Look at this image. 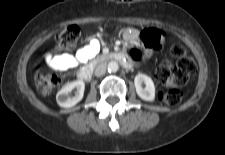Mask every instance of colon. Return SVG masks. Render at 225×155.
Here are the masks:
<instances>
[{"label":"colon","mask_w":225,"mask_h":155,"mask_svg":"<svg viewBox=\"0 0 225 155\" xmlns=\"http://www.w3.org/2000/svg\"><path fill=\"white\" fill-rule=\"evenodd\" d=\"M80 33L79 27L75 25L66 27L55 36L56 48L65 51L74 49ZM162 38V32L154 28L145 29L140 35V40L147 49L159 47ZM171 54L177 58L176 63L161 62L156 70V79L160 84L168 87L158 93V99L169 106H175L182 99L181 87L188 83L190 77L196 72L197 66L181 44L172 45ZM129 55L135 63H140L144 59V54L138 46L131 47ZM59 83L60 77L56 74L40 73L36 76V86L42 94L50 93Z\"/></svg>","instance_id":"obj_1"}]
</instances>
